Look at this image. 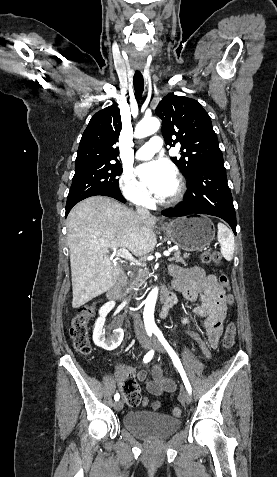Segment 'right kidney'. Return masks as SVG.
I'll list each match as a JSON object with an SVG mask.
<instances>
[{"mask_svg": "<svg viewBox=\"0 0 277 477\" xmlns=\"http://www.w3.org/2000/svg\"><path fill=\"white\" fill-rule=\"evenodd\" d=\"M115 302L109 301L105 305L101 307L99 310V318L95 322L94 330H93V342L96 346L101 347L107 351H112L116 349L122 342L124 337V331L120 327V324L116 326L113 330L112 334L105 338L103 333V328L105 324V318L108 313L114 308Z\"/></svg>", "mask_w": 277, "mask_h": 477, "instance_id": "ca27d5eb", "label": "right kidney"}]
</instances>
